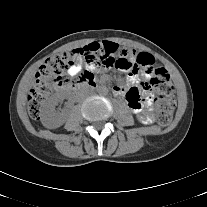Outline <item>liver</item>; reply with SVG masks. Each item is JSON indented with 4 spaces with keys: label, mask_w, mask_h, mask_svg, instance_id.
Listing matches in <instances>:
<instances>
[{
    "label": "liver",
    "mask_w": 207,
    "mask_h": 207,
    "mask_svg": "<svg viewBox=\"0 0 207 207\" xmlns=\"http://www.w3.org/2000/svg\"><path fill=\"white\" fill-rule=\"evenodd\" d=\"M33 84V81L31 80L30 82H28L26 88H25V93H28L29 92V88L32 86Z\"/></svg>",
    "instance_id": "6515ba94"
}]
</instances>
